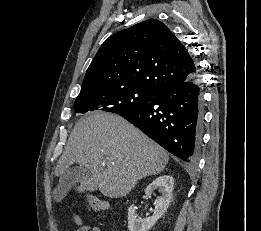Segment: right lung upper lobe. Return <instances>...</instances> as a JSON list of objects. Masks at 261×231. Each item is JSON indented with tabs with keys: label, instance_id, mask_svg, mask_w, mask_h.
<instances>
[{
	"label": "right lung upper lobe",
	"instance_id": "1",
	"mask_svg": "<svg viewBox=\"0 0 261 231\" xmlns=\"http://www.w3.org/2000/svg\"><path fill=\"white\" fill-rule=\"evenodd\" d=\"M195 74L197 67L185 46L165 24L149 19L103 43L79 95L128 86L157 94Z\"/></svg>",
	"mask_w": 261,
	"mask_h": 231
}]
</instances>
